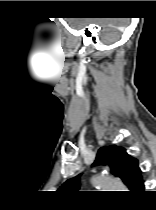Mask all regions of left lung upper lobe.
<instances>
[{
    "instance_id": "1",
    "label": "left lung upper lobe",
    "mask_w": 156,
    "mask_h": 210,
    "mask_svg": "<svg viewBox=\"0 0 156 210\" xmlns=\"http://www.w3.org/2000/svg\"><path fill=\"white\" fill-rule=\"evenodd\" d=\"M105 164H109L111 173L120 178L132 192H140L144 189L139 162L136 158L130 156L125 148L116 145L100 148L93 166ZM79 179L80 175L67 180L59 191L72 192L79 190Z\"/></svg>"
}]
</instances>
